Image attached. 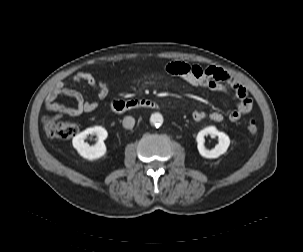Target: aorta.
Wrapping results in <instances>:
<instances>
[{"instance_id":"762f6f07","label":"aorta","mask_w":303,"mask_h":252,"mask_svg":"<svg viewBox=\"0 0 303 252\" xmlns=\"http://www.w3.org/2000/svg\"><path fill=\"white\" fill-rule=\"evenodd\" d=\"M150 122L154 126H161L163 123V117L160 113H154L151 115Z\"/></svg>"}]
</instances>
